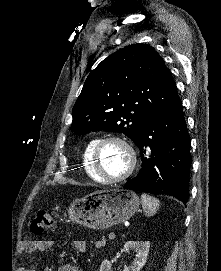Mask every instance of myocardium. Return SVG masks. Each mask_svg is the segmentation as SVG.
Wrapping results in <instances>:
<instances>
[{"label":"myocardium","mask_w":221,"mask_h":271,"mask_svg":"<svg viewBox=\"0 0 221 271\" xmlns=\"http://www.w3.org/2000/svg\"><path fill=\"white\" fill-rule=\"evenodd\" d=\"M94 140L98 142H95V145H90L93 148L90 158L93 161L92 166L95 168L94 173L98 172V177H105L106 175L102 170L103 167L99 158L100 150H104L108 145H116L118 150H124L123 153L125 156L122 162L123 164H127V171L118 176L103 178V183L101 184L124 183V178H128L138 165L137 158L133 157V154L137 153V151L133 150L131 148L133 145H129V142H127L130 139L120 133H107L106 137L95 138Z\"/></svg>","instance_id":"myocardium-1"}]
</instances>
